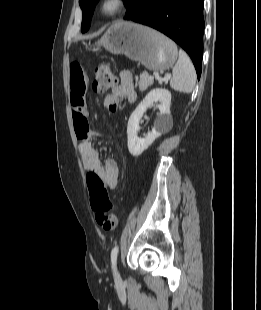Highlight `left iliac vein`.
Instances as JSON below:
<instances>
[{
    "mask_svg": "<svg viewBox=\"0 0 261 310\" xmlns=\"http://www.w3.org/2000/svg\"><path fill=\"white\" fill-rule=\"evenodd\" d=\"M114 276H115V279L119 280L120 276L116 268L114 269Z\"/></svg>",
    "mask_w": 261,
    "mask_h": 310,
    "instance_id": "4c4485c4",
    "label": "left iliac vein"
}]
</instances>
